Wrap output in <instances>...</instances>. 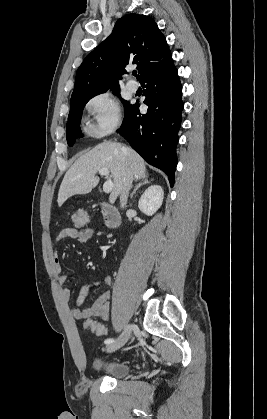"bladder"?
Returning a JSON list of instances; mask_svg holds the SVG:
<instances>
[{"mask_svg": "<svg viewBox=\"0 0 267 419\" xmlns=\"http://www.w3.org/2000/svg\"><path fill=\"white\" fill-rule=\"evenodd\" d=\"M93 369L99 374L110 376L112 378H122L129 374L131 367L126 362L122 361H102L96 360L93 363Z\"/></svg>", "mask_w": 267, "mask_h": 419, "instance_id": "bladder-1", "label": "bladder"}]
</instances>
